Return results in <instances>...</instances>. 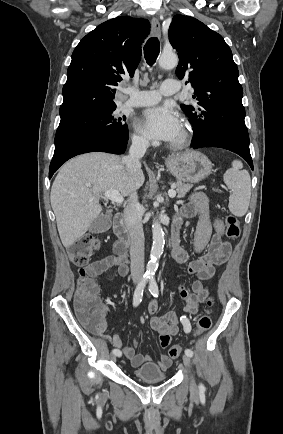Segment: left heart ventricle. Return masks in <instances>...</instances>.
<instances>
[{"label": "left heart ventricle", "instance_id": "b2bd125f", "mask_svg": "<svg viewBox=\"0 0 283 434\" xmlns=\"http://www.w3.org/2000/svg\"><path fill=\"white\" fill-rule=\"evenodd\" d=\"M180 134H181V130H180V132H179V134H178V136L174 139V140H176V139H178L179 138V136H180ZM173 140V141H174Z\"/></svg>", "mask_w": 283, "mask_h": 434}]
</instances>
